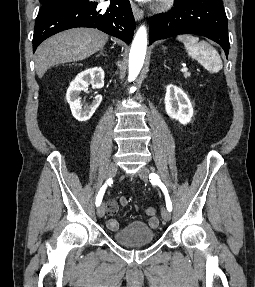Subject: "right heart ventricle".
<instances>
[{
    "label": "right heart ventricle",
    "mask_w": 255,
    "mask_h": 287,
    "mask_svg": "<svg viewBox=\"0 0 255 287\" xmlns=\"http://www.w3.org/2000/svg\"><path fill=\"white\" fill-rule=\"evenodd\" d=\"M110 48H121V47H110Z\"/></svg>",
    "instance_id": "e07e8e85"
}]
</instances>
